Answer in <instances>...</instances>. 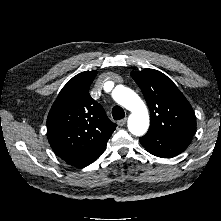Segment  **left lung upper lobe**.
<instances>
[{"label": "left lung upper lobe", "mask_w": 221, "mask_h": 221, "mask_svg": "<svg viewBox=\"0 0 221 221\" xmlns=\"http://www.w3.org/2000/svg\"><path fill=\"white\" fill-rule=\"evenodd\" d=\"M131 76L140 87L151 113L149 132L192 138L196 117L190 103L173 81L154 69L133 71Z\"/></svg>", "instance_id": "1"}]
</instances>
